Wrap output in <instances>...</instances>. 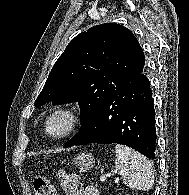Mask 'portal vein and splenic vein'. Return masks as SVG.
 Segmentation results:
<instances>
[{
	"label": "portal vein and splenic vein",
	"mask_w": 189,
	"mask_h": 195,
	"mask_svg": "<svg viewBox=\"0 0 189 195\" xmlns=\"http://www.w3.org/2000/svg\"><path fill=\"white\" fill-rule=\"evenodd\" d=\"M100 181H101V182L106 181V176H101V177H100Z\"/></svg>",
	"instance_id": "obj_1"
}]
</instances>
